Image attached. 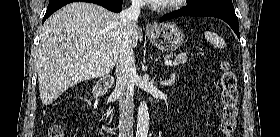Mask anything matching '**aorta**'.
I'll return each mask as SVG.
<instances>
[{
  "label": "aorta",
  "mask_w": 280,
  "mask_h": 137,
  "mask_svg": "<svg viewBox=\"0 0 280 137\" xmlns=\"http://www.w3.org/2000/svg\"><path fill=\"white\" fill-rule=\"evenodd\" d=\"M149 130V112L146 102H141L137 113L136 137H147Z\"/></svg>",
  "instance_id": "obj_1"
}]
</instances>
